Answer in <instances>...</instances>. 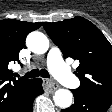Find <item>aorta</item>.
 Listing matches in <instances>:
<instances>
[{"instance_id":"aorta-1","label":"aorta","mask_w":112,"mask_h":112,"mask_svg":"<svg viewBox=\"0 0 112 112\" xmlns=\"http://www.w3.org/2000/svg\"><path fill=\"white\" fill-rule=\"evenodd\" d=\"M27 47L36 54H44L49 48V40L41 32H31L26 39ZM73 95L67 89H58L54 96V103L60 108H68L72 104Z\"/></svg>"}]
</instances>
